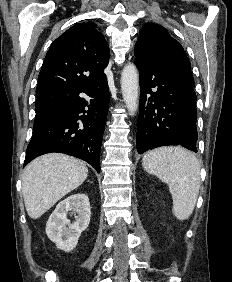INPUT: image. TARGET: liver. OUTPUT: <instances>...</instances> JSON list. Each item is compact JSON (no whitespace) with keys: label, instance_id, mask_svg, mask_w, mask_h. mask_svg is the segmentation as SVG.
<instances>
[{"label":"liver","instance_id":"6515ba94","mask_svg":"<svg viewBox=\"0 0 232 282\" xmlns=\"http://www.w3.org/2000/svg\"><path fill=\"white\" fill-rule=\"evenodd\" d=\"M86 165L65 154L51 153L30 162L23 173L22 192L28 215L37 219L63 196L80 186Z\"/></svg>","mask_w":232,"mask_h":282}]
</instances>
